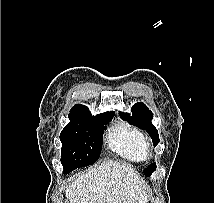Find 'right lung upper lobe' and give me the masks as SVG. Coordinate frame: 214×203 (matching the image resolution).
Instances as JSON below:
<instances>
[{
	"label": "right lung upper lobe",
	"instance_id": "obj_1",
	"mask_svg": "<svg viewBox=\"0 0 214 203\" xmlns=\"http://www.w3.org/2000/svg\"><path fill=\"white\" fill-rule=\"evenodd\" d=\"M79 110L89 111L87 106H84V105H81V104H76L71 109V111H79ZM99 115H103V116L114 115V112L111 111V112H106V113L99 114Z\"/></svg>",
	"mask_w": 214,
	"mask_h": 203
}]
</instances>
